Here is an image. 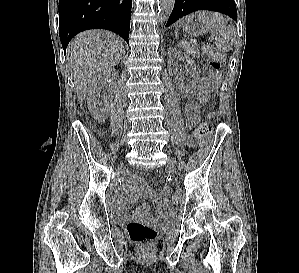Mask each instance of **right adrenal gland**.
I'll return each mask as SVG.
<instances>
[{
  "label": "right adrenal gland",
  "instance_id": "obj_1",
  "mask_svg": "<svg viewBox=\"0 0 299 273\" xmlns=\"http://www.w3.org/2000/svg\"><path fill=\"white\" fill-rule=\"evenodd\" d=\"M123 55H125V52L123 53ZM121 61L123 62V57L121 58Z\"/></svg>",
  "mask_w": 299,
  "mask_h": 273
}]
</instances>
